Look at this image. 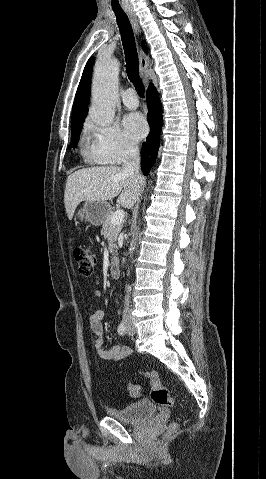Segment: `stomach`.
<instances>
[{
  "mask_svg": "<svg viewBox=\"0 0 266 479\" xmlns=\"http://www.w3.org/2000/svg\"><path fill=\"white\" fill-rule=\"evenodd\" d=\"M110 205L103 201H86L77 216L80 220L90 222L92 225L102 224L110 212Z\"/></svg>",
  "mask_w": 266,
  "mask_h": 479,
  "instance_id": "1",
  "label": "stomach"
}]
</instances>
